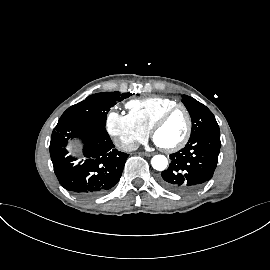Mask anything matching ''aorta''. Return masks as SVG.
Returning a JSON list of instances; mask_svg holds the SVG:
<instances>
[{
    "label": "aorta",
    "instance_id": "aorta-1",
    "mask_svg": "<svg viewBox=\"0 0 270 270\" xmlns=\"http://www.w3.org/2000/svg\"><path fill=\"white\" fill-rule=\"evenodd\" d=\"M151 165L155 170L163 171L167 168L168 160L164 155H155L151 160Z\"/></svg>",
    "mask_w": 270,
    "mask_h": 270
}]
</instances>
